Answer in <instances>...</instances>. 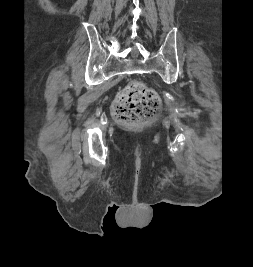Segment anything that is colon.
<instances>
[{
	"instance_id": "colon-1",
	"label": "colon",
	"mask_w": 253,
	"mask_h": 267,
	"mask_svg": "<svg viewBox=\"0 0 253 267\" xmlns=\"http://www.w3.org/2000/svg\"><path fill=\"white\" fill-rule=\"evenodd\" d=\"M161 108L158 94L140 81L122 89L112 106L115 120L124 125H139L155 117Z\"/></svg>"
}]
</instances>
